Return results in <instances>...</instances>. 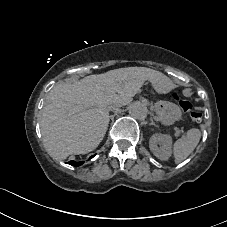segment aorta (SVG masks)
<instances>
[{
  "instance_id": "obj_1",
  "label": "aorta",
  "mask_w": 227,
  "mask_h": 227,
  "mask_svg": "<svg viewBox=\"0 0 227 227\" xmlns=\"http://www.w3.org/2000/svg\"><path fill=\"white\" fill-rule=\"evenodd\" d=\"M129 114L135 119H145L148 114L147 106L143 103L134 102L129 106Z\"/></svg>"
}]
</instances>
